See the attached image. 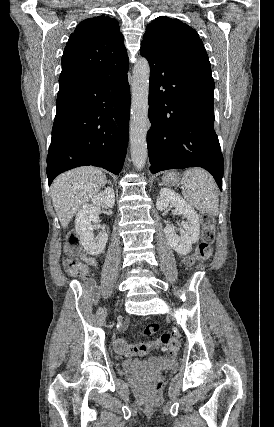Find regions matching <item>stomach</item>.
I'll return each mask as SVG.
<instances>
[{"instance_id":"obj_1","label":"stomach","mask_w":274,"mask_h":427,"mask_svg":"<svg viewBox=\"0 0 274 427\" xmlns=\"http://www.w3.org/2000/svg\"><path fill=\"white\" fill-rule=\"evenodd\" d=\"M179 180V174H176V172H167V174H164L163 184L165 186H174V184H178Z\"/></svg>"}]
</instances>
